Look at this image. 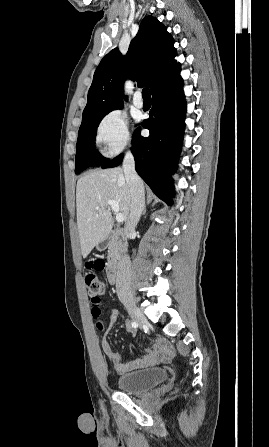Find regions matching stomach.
<instances>
[{
	"label": "stomach",
	"instance_id": "1",
	"mask_svg": "<svg viewBox=\"0 0 269 447\" xmlns=\"http://www.w3.org/2000/svg\"><path fill=\"white\" fill-rule=\"evenodd\" d=\"M97 249H104V245H101V243H97Z\"/></svg>",
	"mask_w": 269,
	"mask_h": 447
}]
</instances>
